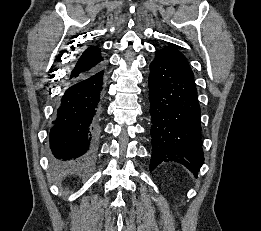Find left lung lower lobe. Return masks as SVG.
Returning a JSON list of instances; mask_svg holds the SVG:
<instances>
[{
	"instance_id": "obj_1",
	"label": "left lung lower lobe",
	"mask_w": 261,
	"mask_h": 231,
	"mask_svg": "<svg viewBox=\"0 0 261 231\" xmlns=\"http://www.w3.org/2000/svg\"><path fill=\"white\" fill-rule=\"evenodd\" d=\"M148 85L152 120L150 170L163 161H175L197 177L204 163V153L201 111L194 79L155 54L150 64Z\"/></svg>"
}]
</instances>
